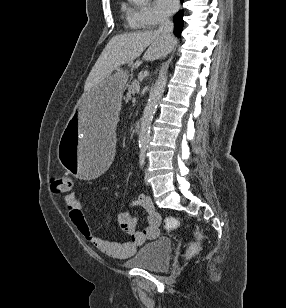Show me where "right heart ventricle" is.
I'll use <instances>...</instances> for the list:
<instances>
[{
    "label": "right heart ventricle",
    "mask_w": 286,
    "mask_h": 308,
    "mask_svg": "<svg viewBox=\"0 0 286 308\" xmlns=\"http://www.w3.org/2000/svg\"><path fill=\"white\" fill-rule=\"evenodd\" d=\"M121 11L126 19L127 24L131 28H134V29L138 28L134 22L133 11L126 4H122Z\"/></svg>",
    "instance_id": "obj_1"
}]
</instances>
